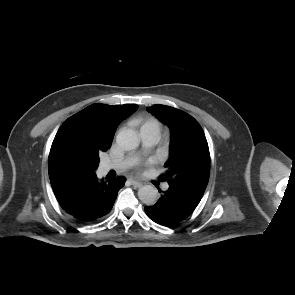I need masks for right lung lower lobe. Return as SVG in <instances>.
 Returning <instances> with one entry per match:
<instances>
[{
	"instance_id": "right-lung-lower-lobe-1",
	"label": "right lung lower lobe",
	"mask_w": 295,
	"mask_h": 295,
	"mask_svg": "<svg viewBox=\"0 0 295 295\" xmlns=\"http://www.w3.org/2000/svg\"><path fill=\"white\" fill-rule=\"evenodd\" d=\"M49 177L61 207L77 221L86 224L99 221L111 211L118 191L126 180L125 177L98 179L95 172Z\"/></svg>"
}]
</instances>
